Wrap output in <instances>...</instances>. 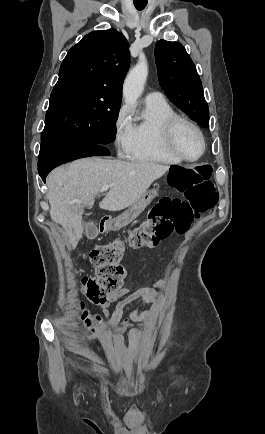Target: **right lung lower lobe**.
Instances as JSON below:
<instances>
[{"label":"right lung lower lobe","mask_w":265,"mask_h":434,"mask_svg":"<svg viewBox=\"0 0 265 434\" xmlns=\"http://www.w3.org/2000/svg\"><path fill=\"white\" fill-rule=\"evenodd\" d=\"M109 151L102 145H72L59 142L41 144L38 158V172L45 182L48 173L55 167L89 156H107Z\"/></svg>","instance_id":"obj_1"}]
</instances>
